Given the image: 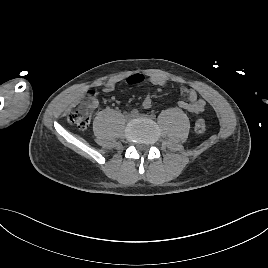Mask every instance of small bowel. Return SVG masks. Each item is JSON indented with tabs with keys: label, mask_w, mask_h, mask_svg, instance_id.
Listing matches in <instances>:
<instances>
[{
	"label": "small bowel",
	"mask_w": 268,
	"mask_h": 268,
	"mask_svg": "<svg viewBox=\"0 0 268 268\" xmlns=\"http://www.w3.org/2000/svg\"><path fill=\"white\" fill-rule=\"evenodd\" d=\"M145 80V76L136 73L127 78L128 84H140ZM148 81L155 86H164L166 84L165 78L159 75H151L148 77ZM115 88L114 82H107L104 84L102 91L103 92H110ZM180 94L182 96V100L178 102L179 108L186 110L190 113L199 114L203 112L205 108V101L203 99L198 98L197 91L194 88L181 86L180 87ZM142 106L146 109L152 106V98L150 96H146L142 101Z\"/></svg>",
	"instance_id": "c3829d8e"
}]
</instances>
